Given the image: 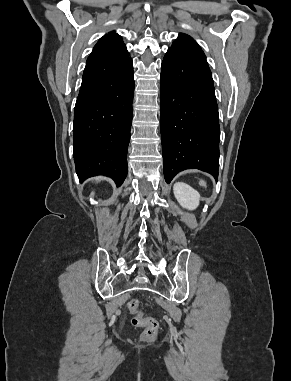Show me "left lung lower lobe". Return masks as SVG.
Listing matches in <instances>:
<instances>
[{"label":"left lung lower lobe","instance_id":"obj_1","mask_svg":"<svg viewBox=\"0 0 291 381\" xmlns=\"http://www.w3.org/2000/svg\"><path fill=\"white\" fill-rule=\"evenodd\" d=\"M160 98L165 181L192 168L217 180L220 128L210 69L169 48L162 62Z\"/></svg>","mask_w":291,"mask_h":381}]
</instances>
